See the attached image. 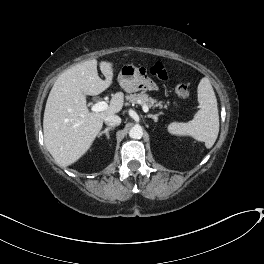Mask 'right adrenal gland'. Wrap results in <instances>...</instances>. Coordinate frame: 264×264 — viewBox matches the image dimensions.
I'll return each mask as SVG.
<instances>
[{
    "label": "right adrenal gland",
    "instance_id": "1",
    "mask_svg": "<svg viewBox=\"0 0 264 264\" xmlns=\"http://www.w3.org/2000/svg\"><path fill=\"white\" fill-rule=\"evenodd\" d=\"M113 129H114V127H107L104 131H102V132H100V133L98 134V137H100V136H102L103 134H105L106 137H107V139H109V138H110V136H109V131H110V130H113Z\"/></svg>",
    "mask_w": 264,
    "mask_h": 264
}]
</instances>
